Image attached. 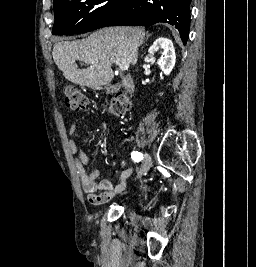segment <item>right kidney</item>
<instances>
[{"label": "right kidney", "mask_w": 256, "mask_h": 267, "mask_svg": "<svg viewBox=\"0 0 256 267\" xmlns=\"http://www.w3.org/2000/svg\"><path fill=\"white\" fill-rule=\"evenodd\" d=\"M158 50H164V58H161L158 64L162 72L168 76L172 72L176 62L175 50L171 40H168V38H158V40H155L153 46L149 48V54L146 60H153L155 52H158Z\"/></svg>", "instance_id": "obj_1"}]
</instances>
